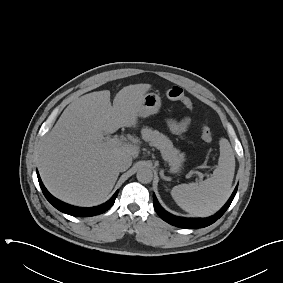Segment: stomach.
<instances>
[{"label":"stomach","mask_w":283,"mask_h":283,"mask_svg":"<svg viewBox=\"0 0 283 283\" xmlns=\"http://www.w3.org/2000/svg\"><path fill=\"white\" fill-rule=\"evenodd\" d=\"M161 108V98L156 93H147L142 97L139 104L137 115L139 117H148L150 115L156 114ZM180 165L175 168V172L179 171Z\"/></svg>","instance_id":"1"}]
</instances>
